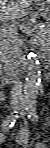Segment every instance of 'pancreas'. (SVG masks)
<instances>
[{"label":"pancreas","mask_w":50,"mask_h":148,"mask_svg":"<svg viewBox=\"0 0 50 148\" xmlns=\"http://www.w3.org/2000/svg\"><path fill=\"white\" fill-rule=\"evenodd\" d=\"M39 38H38V42L39 43H43V37H44V33H42L41 31H39ZM4 36L8 39H10V42H8L10 44L11 47H15L18 48L21 45V39L18 38L17 34H13V31L11 29V27H6V31L4 33Z\"/></svg>","instance_id":"cf45deb5"}]
</instances>
